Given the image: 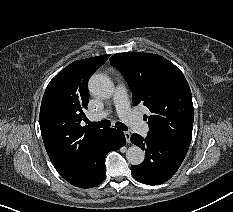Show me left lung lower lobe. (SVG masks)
<instances>
[{
    "instance_id": "left-lung-lower-lobe-1",
    "label": "left lung lower lobe",
    "mask_w": 233,
    "mask_h": 212,
    "mask_svg": "<svg viewBox=\"0 0 233 212\" xmlns=\"http://www.w3.org/2000/svg\"><path fill=\"white\" fill-rule=\"evenodd\" d=\"M131 142L145 150L144 162L131 166V174L137 181L147 185L162 184L170 179L180 167L189 148L150 135L143 138L136 133L132 134Z\"/></svg>"
}]
</instances>
